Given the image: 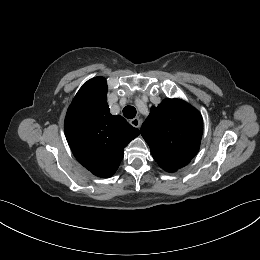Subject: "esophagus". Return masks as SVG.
Returning a JSON list of instances; mask_svg holds the SVG:
<instances>
[{
    "label": "esophagus",
    "instance_id": "1",
    "mask_svg": "<svg viewBox=\"0 0 260 260\" xmlns=\"http://www.w3.org/2000/svg\"><path fill=\"white\" fill-rule=\"evenodd\" d=\"M130 124H131L133 127L140 128V126H141V120L138 119V118L131 119V120H130Z\"/></svg>",
    "mask_w": 260,
    "mask_h": 260
}]
</instances>
